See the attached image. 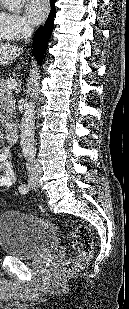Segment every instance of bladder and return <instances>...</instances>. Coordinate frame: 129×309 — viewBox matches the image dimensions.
Masks as SVG:
<instances>
[{
	"instance_id": "obj_1",
	"label": "bladder",
	"mask_w": 129,
	"mask_h": 309,
	"mask_svg": "<svg viewBox=\"0 0 129 309\" xmlns=\"http://www.w3.org/2000/svg\"><path fill=\"white\" fill-rule=\"evenodd\" d=\"M57 236L38 219L19 211L0 215V247L11 256L34 259L56 249Z\"/></svg>"
}]
</instances>
